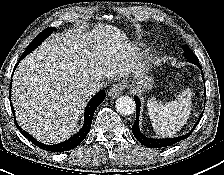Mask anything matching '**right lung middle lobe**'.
Instances as JSON below:
<instances>
[{"instance_id":"right-lung-middle-lobe-1","label":"right lung middle lobe","mask_w":224,"mask_h":175,"mask_svg":"<svg viewBox=\"0 0 224 175\" xmlns=\"http://www.w3.org/2000/svg\"><path fill=\"white\" fill-rule=\"evenodd\" d=\"M56 29L54 27L51 28H47L45 30H43L31 43L30 45L27 47V49L25 50L24 53L28 52L29 53L31 51H33L36 47H38L42 41H44V39L46 37H48L53 31H55Z\"/></svg>"}]
</instances>
